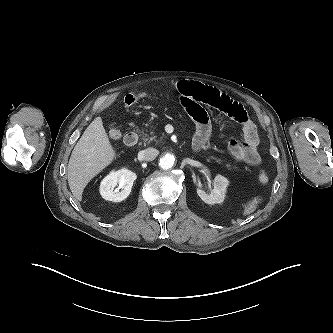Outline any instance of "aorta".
<instances>
[{"instance_id": "aorta-1", "label": "aorta", "mask_w": 333, "mask_h": 333, "mask_svg": "<svg viewBox=\"0 0 333 333\" xmlns=\"http://www.w3.org/2000/svg\"><path fill=\"white\" fill-rule=\"evenodd\" d=\"M174 162H175V157L173 154L171 153H166L164 154L160 160H159V166L164 169V170H167V169H170L173 167L174 165Z\"/></svg>"}]
</instances>
